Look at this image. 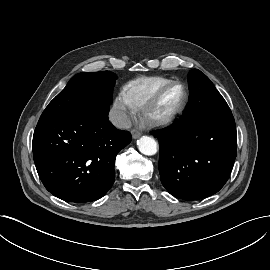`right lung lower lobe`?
Instances as JSON below:
<instances>
[{
    "label": "right lung lower lobe",
    "mask_w": 270,
    "mask_h": 270,
    "mask_svg": "<svg viewBox=\"0 0 270 270\" xmlns=\"http://www.w3.org/2000/svg\"><path fill=\"white\" fill-rule=\"evenodd\" d=\"M109 106L86 113L41 116L33 135V158L45 188L69 202L103 197L114 183L117 153L131 141L108 120Z\"/></svg>",
    "instance_id": "obj_1"
}]
</instances>
